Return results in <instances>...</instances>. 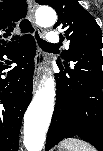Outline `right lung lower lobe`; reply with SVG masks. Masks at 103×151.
I'll list each match as a JSON object with an SVG mask.
<instances>
[{"instance_id":"1","label":"right lung lower lobe","mask_w":103,"mask_h":151,"mask_svg":"<svg viewBox=\"0 0 103 151\" xmlns=\"http://www.w3.org/2000/svg\"><path fill=\"white\" fill-rule=\"evenodd\" d=\"M35 51L36 45L29 38L0 50V60L4 55L19 56L8 79L0 78V151H18L22 117L32 97ZM6 68L0 62V72Z\"/></svg>"}]
</instances>
